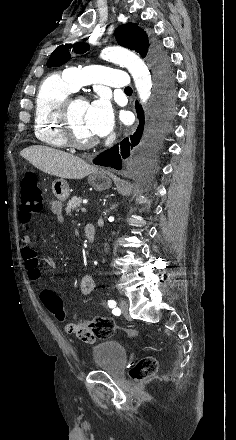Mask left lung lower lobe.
<instances>
[{"label": "left lung lower lobe", "instance_id": "left-lung-lower-lobe-1", "mask_svg": "<svg viewBox=\"0 0 236 440\" xmlns=\"http://www.w3.org/2000/svg\"><path fill=\"white\" fill-rule=\"evenodd\" d=\"M155 70L158 85V95L154 106L151 121L144 130V114L142 107L136 103V112L139 125L129 138L123 139L119 144L99 154L93 163L101 166H111L114 169L122 168V161L130 156V150L137 146L140 141L148 142L162 138L171 131L172 120L175 116L176 93L173 89L172 74L169 71V63H161L156 60ZM143 135V138H142Z\"/></svg>", "mask_w": 236, "mask_h": 440}]
</instances>
